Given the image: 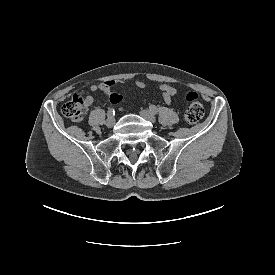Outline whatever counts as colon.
<instances>
[{
    "mask_svg": "<svg viewBox=\"0 0 275 275\" xmlns=\"http://www.w3.org/2000/svg\"><path fill=\"white\" fill-rule=\"evenodd\" d=\"M184 96L188 103L184 114L185 121L189 124L196 123L204 115V107L197 93L186 91ZM88 108L89 102L87 97L83 93H77L62 106V113L71 121L80 122L84 118Z\"/></svg>",
    "mask_w": 275,
    "mask_h": 275,
    "instance_id": "1",
    "label": "colon"
}]
</instances>
